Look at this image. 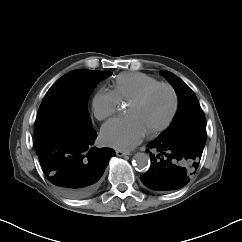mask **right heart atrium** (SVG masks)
Returning <instances> with one entry per match:
<instances>
[{
    "instance_id": "1",
    "label": "right heart atrium",
    "mask_w": 242,
    "mask_h": 242,
    "mask_svg": "<svg viewBox=\"0 0 242 242\" xmlns=\"http://www.w3.org/2000/svg\"><path fill=\"white\" fill-rule=\"evenodd\" d=\"M120 107L116 93L108 88H100L92 99V111L98 120H105L115 114Z\"/></svg>"
}]
</instances>
